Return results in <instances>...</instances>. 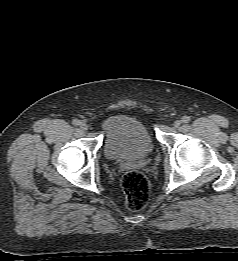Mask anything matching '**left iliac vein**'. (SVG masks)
<instances>
[{
	"instance_id": "left-iliac-vein-1",
	"label": "left iliac vein",
	"mask_w": 238,
	"mask_h": 261,
	"mask_svg": "<svg viewBox=\"0 0 238 261\" xmlns=\"http://www.w3.org/2000/svg\"><path fill=\"white\" fill-rule=\"evenodd\" d=\"M181 124H182V121H181V120H176V121L173 123V126H174L175 128H178V127H180Z\"/></svg>"
}]
</instances>
